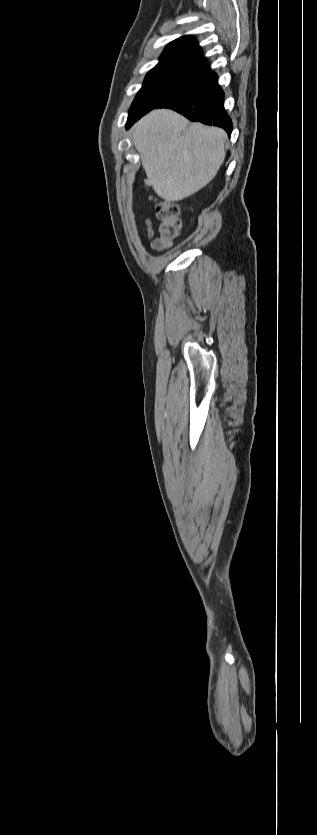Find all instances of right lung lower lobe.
<instances>
[{"instance_id":"1","label":"right lung lower lobe","mask_w":317,"mask_h":835,"mask_svg":"<svg viewBox=\"0 0 317 835\" xmlns=\"http://www.w3.org/2000/svg\"><path fill=\"white\" fill-rule=\"evenodd\" d=\"M191 61L197 71L207 79L206 82L169 99L156 108H171L191 121L221 127L230 137L233 126L224 109V93L217 83V74L210 71L205 58L199 56Z\"/></svg>"}]
</instances>
